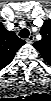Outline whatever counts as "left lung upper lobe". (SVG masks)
Segmentation results:
<instances>
[{"label": "left lung upper lobe", "instance_id": "1", "mask_svg": "<svg viewBox=\"0 0 51 101\" xmlns=\"http://www.w3.org/2000/svg\"><path fill=\"white\" fill-rule=\"evenodd\" d=\"M40 34L42 35V39L36 41L33 46L37 49L44 60L50 64L51 63V21L46 20L42 25L40 30Z\"/></svg>", "mask_w": 51, "mask_h": 101}]
</instances>
